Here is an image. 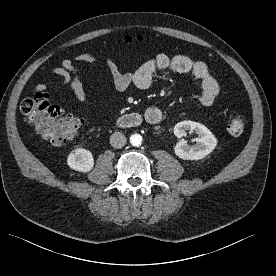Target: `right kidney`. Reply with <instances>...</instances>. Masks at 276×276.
Masks as SVG:
<instances>
[{
    "label": "right kidney",
    "mask_w": 276,
    "mask_h": 276,
    "mask_svg": "<svg viewBox=\"0 0 276 276\" xmlns=\"http://www.w3.org/2000/svg\"><path fill=\"white\" fill-rule=\"evenodd\" d=\"M68 166L79 172H89L94 166V158L89 150L77 148L67 158Z\"/></svg>",
    "instance_id": "1"
}]
</instances>
